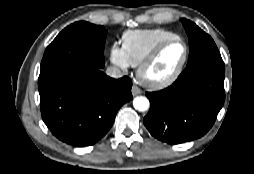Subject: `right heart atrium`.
<instances>
[{"mask_svg":"<svg viewBox=\"0 0 254 174\" xmlns=\"http://www.w3.org/2000/svg\"><path fill=\"white\" fill-rule=\"evenodd\" d=\"M109 58L113 65L123 70H127L131 66L127 60L123 48L117 43L111 45L109 49Z\"/></svg>","mask_w":254,"mask_h":174,"instance_id":"right-heart-atrium-1","label":"right heart atrium"}]
</instances>
